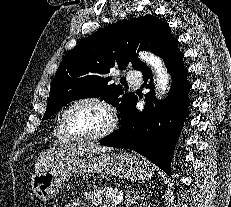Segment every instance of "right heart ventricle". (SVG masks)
<instances>
[{"mask_svg":"<svg viewBox=\"0 0 231 207\" xmlns=\"http://www.w3.org/2000/svg\"><path fill=\"white\" fill-rule=\"evenodd\" d=\"M54 136L60 144H67L72 141L66 136V134L63 131L61 116L57 120L56 127L54 130Z\"/></svg>","mask_w":231,"mask_h":207,"instance_id":"obj_1","label":"right heart ventricle"}]
</instances>
